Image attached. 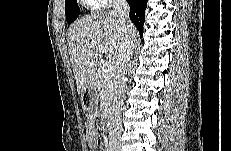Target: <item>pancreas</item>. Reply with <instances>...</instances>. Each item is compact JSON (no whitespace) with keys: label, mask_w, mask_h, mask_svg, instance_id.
<instances>
[{"label":"pancreas","mask_w":231,"mask_h":151,"mask_svg":"<svg viewBox=\"0 0 231 151\" xmlns=\"http://www.w3.org/2000/svg\"><path fill=\"white\" fill-rule=\"evenodd\" d=\"M94 85L100 92L103 104L109 105L113 98V74L100 69L95 75Z\"/></svg>","instance_id":"obj_1"}]
</instances>
